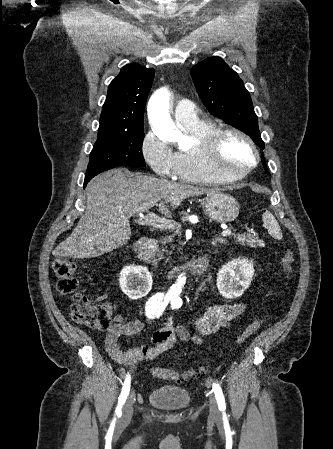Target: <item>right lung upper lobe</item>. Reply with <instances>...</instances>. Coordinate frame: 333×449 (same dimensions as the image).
<instances>
[{
  "label": "right lung upper lobe",
  "mask_w": 333,
  "mask_h": 449,
  "mask_svg": "<svg viewBox=\"0 0 333 449\" xmlns=\"http://www.w3.org/2000/svg\"><path fill=\"white\" fill-rule=\"evenodd\" d=\"M155 70L132 63L124 66L108 87L98 132L135 133L143 129L146 100Z\"/></svg>",
  "instance_id": "cb5924a9"
}]
</instances>
